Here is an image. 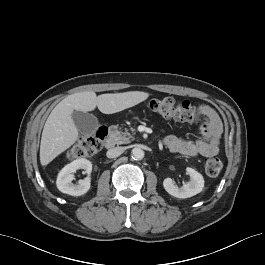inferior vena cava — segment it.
<instances>
[{
    "mask_svg": "<svg viewBox=\"0 0 265 265\" xmlns=\"http://www.w3.org/2000/svg\"><path fill=\"white\" fill-rule=\"evenodd\" d=\"M123 152H124L123 147H115V148L109 149L106 155L108 158H116L120 156Z\"/></svg>",
    "mask_w": 265,
    "mask_h": 265,
    "instance_id": "inferior-vena-cava-1",
    "label": "inferior vena cava"
}]
</instances>
